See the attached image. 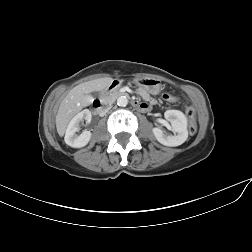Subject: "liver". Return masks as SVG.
<instances>
[{"mask_svg":"<svg viewBox=\"0 0 252 252\" xmlns=\"http://www.w3.org/2000/svg\"><path fill=\"white\" fill-rule=\"evenodd\" d=\"M113 82L112 78H101L81 83L74 87L61 102L57 115L56 127L59 134H63L70 119L83 107L93 102L91 92L102 91Z\"/></svg>","mask_w":252,"mask_h":252,"instance_id":"1","label":"liver"}]
</instances>
